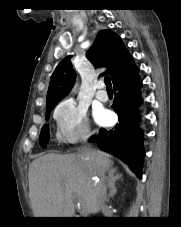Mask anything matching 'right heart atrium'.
<instances>
[{"label":"right heart atrium","mask_w":181,"mask_h":227,"mask_svg":"<svg viewBox=\"0 0 181 227\" xmlns=\"http://www.w3.org/2000/svg\"><path fill=\"white\" fill-rule=\"evenodd\" d=\"M57 136L67 144L86 141L91 136L87 111L73 99L61 101L54 110Z\"/></svg>","instance_id":"right-heart-atrium-1"}]
</instances>
